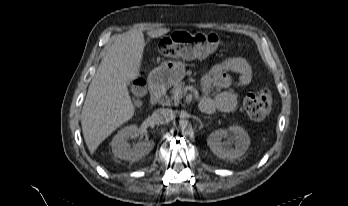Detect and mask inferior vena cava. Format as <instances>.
<instances>
[{
  "mask_svg": "<svg viewBox=\"0 0 348 206\" xmlns=\"http://www.w3.org/2000/svg\"><path fill=\"white\" fill-rule=\"evenodd\" d=\"M153 120L157 124H166L175 118L174 112L168 108H159L153 112Z\"/></svg>",
  "mask_w": 348,
  "mask_h": 206,
  "instance_id": "obj_1",
  "label": "inferior vena cava"
}]
</instances>
